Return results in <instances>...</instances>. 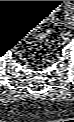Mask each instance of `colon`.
Segmentation results:
<instances>
[{
	"label": "colon",
	"instance_id": "1",
	"mask_svg": "<svg viewBox=\"0 0 74 122\" xmlns=\"http://www.w3.org/2000/svg\"><path fill=\"white\" fill-rule=\"evenodd\" d=\"M53 10V5L47 3L28 15V23L25 25V31L32 32L35 36L34 42L30 45L29 51L33 54L41 50L43 44L51 34V24L48 22V16Z\"/></svg>",
	"mask_w": 74,
	"mask_h": 122
}]
</instances>
